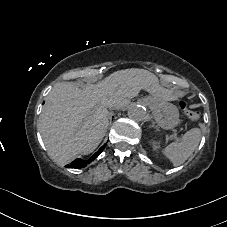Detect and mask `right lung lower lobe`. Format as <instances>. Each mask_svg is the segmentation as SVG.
Returning <instances> with one entry per match:
<instances>
[{
  "label": "right lung lower lobe",
  "instance_id": "98d812e1",
  "mask_svg": "<svg viewBox=\"0 0 227 227\" xmlns=\"http://www.w3.org/2000/svg\"><path fill=\"white\" fill-rule=\"evenodd\" d=\"M106 144H104L93 156H91L88 160H83V159H76L74 160L70 165H68V168H83L93 160H95L101 152L104 150Z\"/></svg>",
  "mask_w": 227,
  "mask_h": 227
}]
</instances>
